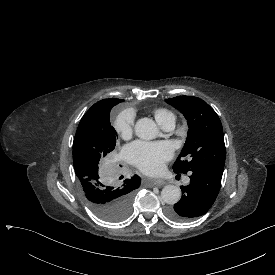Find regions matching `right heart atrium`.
<instances>
[{
  "label": "right heart atrium",
  "instance_id": "right-heart-atrium-1",
  "mask_svg": "<svg viewBox=\"0 0 275 275\" xmlns=\"http://www.w3.org/2000/svg\"><path fill=\"white\" fill-rule=\"evenodd\" d=\"M116 133L123 139H127L133 130V115L122 114L118 116L113 124Z\"/></svg>",
  "mask_w": 275,
  "mask_h": 275
}]
</instances>
